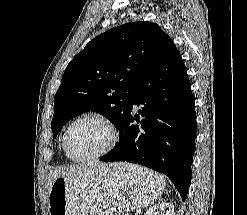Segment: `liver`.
Returning a JSON list of instances; mask_svg holds the SVG:
<instances>
[{"label": "liver", "instance_id": "1", "mask_svg": "<svg viewBox=\"0 0 247 215\" xmlns=\"http://www.w3.org/2000/svg\"><path fill=\"white\" fill-rule=\"evenodd\" d=\"M105 164L101 162H90L83 163L81 165L60 167L50 172L49 174V190L53 184V182L59 177H67L70 180H75L77 178H81L89 174L94 169L103 168Z\"/></svg>", "mask_w": 247, "mask_h": 215}]
</instances>
